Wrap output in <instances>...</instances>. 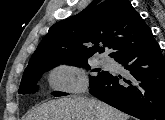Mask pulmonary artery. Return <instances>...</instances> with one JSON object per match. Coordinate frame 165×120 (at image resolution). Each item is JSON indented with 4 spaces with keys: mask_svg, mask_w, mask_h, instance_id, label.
Segmentation results:
<instances>
[{
    "mask_svg": "<svg viewBox=\"0 0 165 120\" xmlns=\"http://www.w3.org/2000/svg\"><path fill=\"white\" fill-rule=\"evenodd\" d=\"M100 63L102 65H110L111 64V61L109 59H107V58H101L100 59Z\"/></svg>",
    "mask_w": 165,
    "mask_h": 120,
    "instance_id": "obj_1",
    "label": "pulmonary artery"
}]
</instances>
